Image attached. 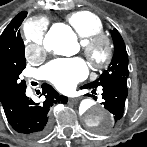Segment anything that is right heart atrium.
<instances>
[{
	"label": "right heart atrium",
	"instance_id": "d8ad5b80",
	"mask_svg": "<svg viewBox=\"0 0 147 147\" xmlns=\"http://www.w3.org/2000/svg\"><path fill=\"white\" fill-rule=\"evenodd\" d=\"M47 25L46 19L36 18L30 20L25 26V55L31 60H38L45 53L43 41Z\"/></svg>",
	"mask_w": 147,
	"mask_h": 147
}]
</instances>
